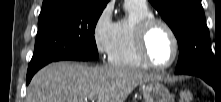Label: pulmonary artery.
I'll use <instances>...</instances> for the list:
<instances>
[{"label":"pulmonary artery","mask_w":221,"mask_h":102,"mask_svg":"<svg viewBox=\"0 0 221 102\" xmlns=\"http://www.w3.org/2000/svg\"><path fill=\"white\" fill-rule=\"evenodd\" d=\"M130 1L140 3V4H146V0H126V2H130Z\"/></svg>","instance_id":"pulmonary-artery-1"}]
</instances>
